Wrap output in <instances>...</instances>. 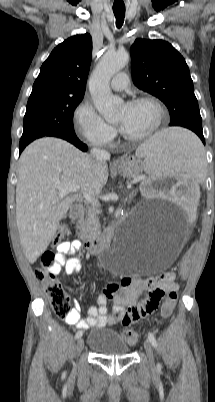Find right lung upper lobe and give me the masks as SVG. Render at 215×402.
Wrapping results in <instances>:
<instances>
[{
	"label": "right lung upper lobe",
	"instance_id": "cb5924a9",
	"mask_svg": "<svg viewBox=\"0 0 215 402\" xmlns=\"http://www.w3.org/2000/svg\"><path fill=\"white\" fill-rule=\"evenodd\" d=\"M91 54L92 38L88 33L59 44L41 66L30 96L47 93L83 97Z\"/></svg>",
	"mask_w": 215,
	"mask_h": 402
}]
</instances>
